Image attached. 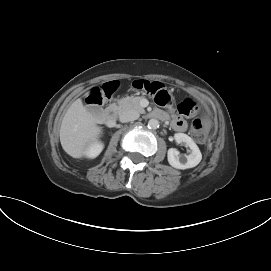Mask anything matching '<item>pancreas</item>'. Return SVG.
<instances>
[{
  "label": "pancreas",
  "instance_id": "1",
  "mask_svg": "<svg viewBox=\"0 0 271 271\" xmlns=\"http://www.w3.org/2000/svg\"><path fill=\"white\" fill-rule=\"evenodd\" d=\"M142 97L128 96L120 99L117 104H113L112 107L118 112L122 113L127 110H135L139 113H144L145 110L140 105Z\"/></svg>",
  "mask_w": 271,
  "mask_h": 271
}]
</instances>
